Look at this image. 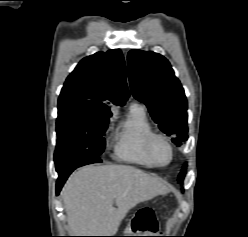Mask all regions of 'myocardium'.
Here are the masks:
<instances>
[{
	"mask_svg": "<svg viewBox=\"0 0 248 237\" xmlns=\"http://www.w3.org/2000/svg\"><path fill=\"white\" fill-rule=\"evenodd\" d=\"M155 140H161L166 144V146L169 149L170 157L169 160L166 163H161L153 155V143ZM145 151L151 162L156 166V167H166L171 164L174 158V148L169 140V138L162 134V133H157V132H152L147 136L145 139Z\"/></svg>",
	"mask_w": 248,
	"mask_h": 237,
	"instance_id": "1",
	"label": "myocardium"
}]
</instances>
